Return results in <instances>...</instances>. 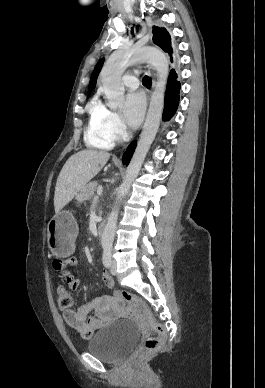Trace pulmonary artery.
I'll use <instances>...</instances> for the list:
<instances>
[{"label":"pulmonary artery","instance_id":"pulmonary-artery-1","mask_svg":"<svg viewBox=\"0 0 265 388\" xmlns=\"http://www.w3.org/2000/svg\"><path fill=\"white\" fill-rule=\"evenodd\" d=\"M145 79H149L151 77V74L149 72H145L142 75ZM138 81L135 79L133 75H124L123 78V86H130L133 92L137 88Z\"/></svg>","mask_w":265,"mask_h":388}]
</instances>
